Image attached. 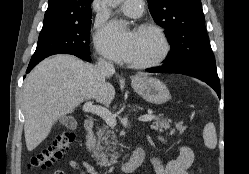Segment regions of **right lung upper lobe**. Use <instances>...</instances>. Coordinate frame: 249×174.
Wrapping results in <instances>:
<instances>
[{"instance_id": "right-lung-upper-lobe-1", "label": "right lung upper lobe", "mask_w": 249, "mask_h": 174, "mask_svg": "<svg viewBox=\"0 0 249 174\" xmlns=\"http://www.w3.org/2000/svg\"><path fill=\"white\" fill-rule=\"evenodd\" d=\"M93 0H48L43 28H50L68 23H78L92 17Z\"/></svg>"}]
</instances>
